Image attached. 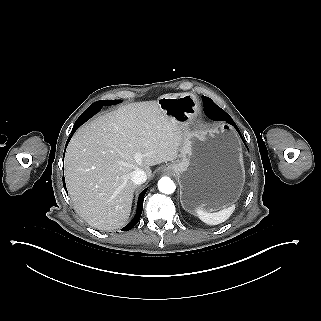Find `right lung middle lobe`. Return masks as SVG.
Masks as SVG:
<instances>
[{"label": "right lung middle lobe", "mask_w": 321, "mask_h": 321, "mask_svg": "<svg viewBox=\"0 0 321 321\" xmlns=\"http://www.w3.org/2000/svg\"><path fill=\"white\" fill-rule=\"evenodd\" d=\"M102 101H105L107 103H113V102L120 101V100H102Z\"/></svg>", "instance_id": "right-lung-middle-lobe-1"}]
</instances>
